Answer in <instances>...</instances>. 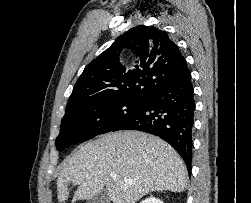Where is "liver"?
Returning <instances> with one entry per match:
<instances>
[{
	"mask_svg": "<svg viewBox=\"0 0 251 203\" xmlns=\"http://www.w3.org/2000/svg\"><path fill=\"white\" fill-rule=\"evenodd\" d=\"M71 183L78 185L73 201L88 200L106 187L113 203H136L155 191L183 192L187 170L179 154L162 139L120 131L101 135L72 153L57 180L60 203L68 200Z\"/></svg>",
	"mask_w": 251,
	"mask_h": 203,
	"instance_id": "6515ba94",
	"label": "liver"
}]
</instances>
